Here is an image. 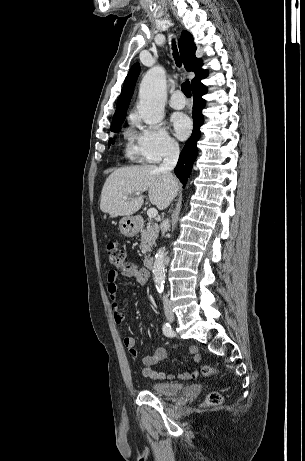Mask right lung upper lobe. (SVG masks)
<instances>
[{
    "label": "right lung upper lobe",
    "mask_w": 305,
    "mask_h": 461,
    "mask_svg": "<svg viewBox=\"0 0 305 461\" xmlns=\"http://www.w3.org/2000/svg\"><path fill=\"white\" fill-rule=\"evenodd\" d=\"M178 46L185 69L187 71H193L195 73V77L191 81L193 86L196 83L200 82L202 78L207 76V70L201 69L202 62L201 59H197L195 56L196 45L194 44L193 37L189 32H182L181 37L178 41ZM139 72L140 67L138 63L134 64L129 70L121 94L117 101V107L115 114L113 116L112 123L122 121L125 119L126 110L131 100Z\"/></svg>",
    "instance_id": "cb5924a9"
}]
</instances>
